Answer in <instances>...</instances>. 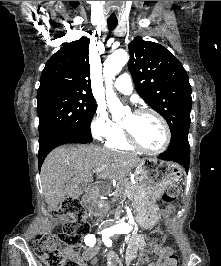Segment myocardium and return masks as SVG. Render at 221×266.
<instances>
[{
  "instance_id": "f54148a6",
  "label": "myocardium",
  "mask_w": 221,
  "mask_h": 266,
  "mask_svg": "<svg viewBox=\"0 0 221 266\" xmlns=\"http://www.w3.org/2000/svg\"><path fill=\"white\" fill-rule=\"evenodd\" d=\"M152 114L153 116H155L161 123L163 129H164V141L162 143V145L156 149H148L145 148L135 137V135L133 134V132L122 125V129L125 135L126 140L128 141V143L135 149L145 153V154H149V155H157L160 154L162 152H164L169 144H170V140H171V131L169 128V125L167 123V121L165 120V118L156 110L152 109V108H139L137 110L134 111L135 115H142V114Z\"/></svg>"
}]
</instances>
